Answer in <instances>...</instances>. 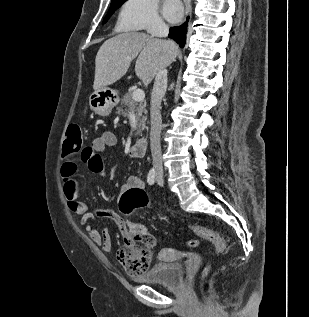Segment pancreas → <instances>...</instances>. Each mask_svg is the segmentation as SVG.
<instances>
[{
  "label": "pancreas",
  "instance_id": "1",
  "mask_svg": "<svg viewBox=\"0 0 309 317\" xmlns=\"http://www.w3.org/2000/svg\"><path fill=\"white\" fill-rule=\"evenodd\" d=\"M118 112L123 116H128L132 111L137 117V127L135 135H140L146 127V102H136L132 99V92H128L121 99V107L117 108Z\"/></svg>",
  "mask_w": 309,
  "mask_h": 317
}]
</instances>
